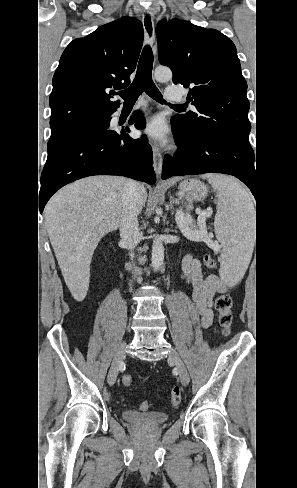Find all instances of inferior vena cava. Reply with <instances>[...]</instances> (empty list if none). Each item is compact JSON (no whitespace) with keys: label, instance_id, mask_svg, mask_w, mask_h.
<instances>
[{"label":"inferior vena cava","instance_id":"602c4592","mask_svg":"<svg viewBox=\"0 0 297 488\" xmlns=\"http://www.w3.org/2000/svg\"><path fill=\"white\" fill-rule=\"evenodd\" d=\"M137 190L138 184L135 181H126L122 192V214L119 222L121 241L129 250L131 259L134 258L133 250L142 237L137 219Z\"/></svg>","mask_w":297,"mask_h":488}]
</instances>
